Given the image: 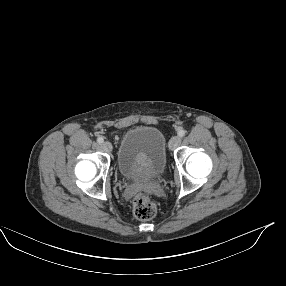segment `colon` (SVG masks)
<instances>
[{
	"mask_svg": "<svg viewBox=\"0 0 286 286\" xmlns=\"http://www.w3.org/2000/svg\"><path fill=\"white\" fill-rule=\"evenodd\" d=\"M132 211L137 219L149 220L156 215L157 207L147 195L139 194L132 201Z\"/></svg>",
	"mask_w": 286,
	"mask_h": 286,
	"instance_id": "1",
	"label": "colon"
}]
</instances>
